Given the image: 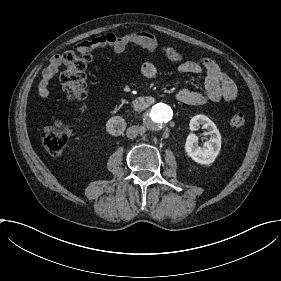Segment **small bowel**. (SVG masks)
I'll list each match as a JSON object with an SVG mask.
<instances>
[{
    "label": "small bowel",
    "instance_id": "small-bowel-1",
    "mask_svg": "<svg viewBox=\"0 0 281 281\" xmlns=\"http://www.w3.org/2000/svg\"><path fill=\"white\" fill-rule=\"evenodd\" d=\"M101 44L111 47L115 52L122 53L128 47H143L149 52L158 48L156 37L145 31H132L127 33H109L101 40ZM164 54L177 63V71L181 74H198L205 71L207 74L205 86L202 90L180 89L176 93V99L182 104L200 105L217 103L221 100L230 102L237 98L235 83L220 67L210 58L203 57L200 62L184 61L183 54L172 48L165 47ZM65 63L62 54L54 55L42 72L39 94L43 99L50 97L48 84L55 78ZM142 74L148 79L158 76V67L152 62H145L141 66Z\"/></svg>",
    "mask_w": 281,
    "mask_h": 281
}]
</instances>
